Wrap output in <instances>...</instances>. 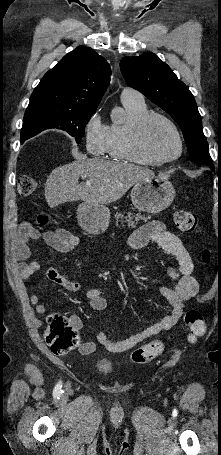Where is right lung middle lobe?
<instances>
[{
    "instance_id": "right-lung-middle-lobe-1",
    "label": "right lung middle lobe",
    "mask_w": 221,
    "mask_h": 455,
    "mask_svg": "<svg viewBox=\"0 0 221 455\" xmlns=\"http://www.w3.org/2000/svg\"><path fill=\"white\" fill-rule=\"evenodd\" d=\"M95 110L68 109L50 105L28 106L21 129V143L48 128H57L75 137L79 144L85 126Z\"/></svg>"
}]
</instances>
